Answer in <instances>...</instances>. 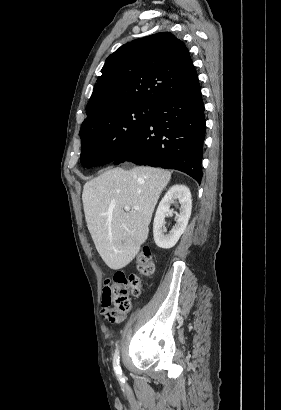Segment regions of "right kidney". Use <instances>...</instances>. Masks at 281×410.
<instances>
[{
	"mask_svg": "<svg viewBox=\"0 0 281 410\" xmlns=\"http://www.w3.org/2000/svg\"><path fill=\"white\" fill-rule=\"evenodd\" d=\"M180 203V213L177 215V221L172 230L166 234L165 215L170 212V205L174 202ZM192 209L191 193L187 186L177 184L172 186L162 198L157 208L154 222L153 235L156 245L163 249L173 247L180 236L184 233Z\"/></svg>",
	"mask_w": 281,
	"mask_h": 410,
	"instance_id": "1",
	"label": "right kidney"
}]
</instances>
